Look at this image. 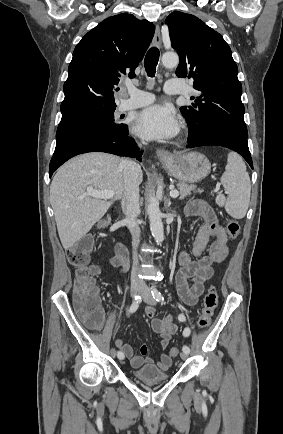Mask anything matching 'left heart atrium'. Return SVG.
<instances>
[{
  "instance_id": "1",
  "label": "left heart atrium",
  "mask_w": 283,
  "mask_h": 434,
  "mask_svg": "<svg viewBox=\"0 0 283 434\" xmlns=\"http://www.w3.org/2000/svg\"><path fill=\"white\" fill-rule=\"evenodd\" d=\"M134 131L150 140L169 139L179 131V119L173 107L156 104L142 110L134 122Z\"/></svg>"
}]
</instances>
